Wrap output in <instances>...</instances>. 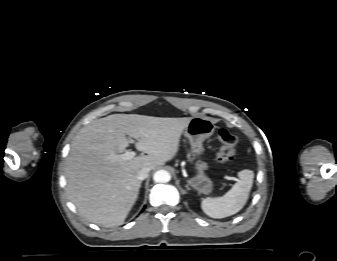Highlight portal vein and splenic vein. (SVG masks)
I'll return each instance as SVG.
<instances>
[{
	"label": "portal vein and splenic vein",
	"instance_id": "obj_1",
	"mask_svg": "<svg viewBox=\"0 0 337 261\" xmlns=\"http://www.w3.org/2000/svg\"><path fill=\"white\" fill-rule=\"evenodd\" d=\"M131 142H133V140H131ZM135 155H136L135 151H128V152H125L123 154L114 155V156H112V159L117 160V161H129L132 158H134Z\"/></svg>",
	"mask_w": 337,
	"mask_h": 261
}]
</instances>
